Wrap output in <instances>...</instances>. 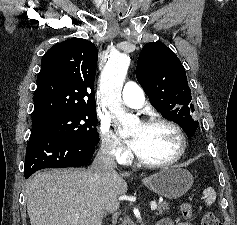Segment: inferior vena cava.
I'll return each mask as SVG.
<instances>
[{
  "label": "inferior vena cava",
  "instance_id": "602c4592",
  "mask_svg": "<svg viewBox=\"0 0 237 225\" xmlns=\"http://www.w3.org/2000/svg\"><path fill=\"white\" fill-rule=\"evenodd\" d=\"M115 147L111 143L102 144L91 166L95 176L109 179L116 174L117 167L114 156ZM110 211L105 212V216Z\"/></svg>",
  "mask_w": 237,
  "mask_h": 225
}]
</instances>
